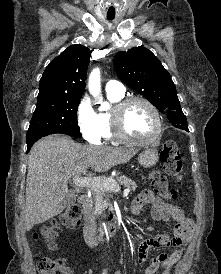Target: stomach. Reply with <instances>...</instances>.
<instances>
[{"label":"stomach","mask_w":221,"mask_h":274,"mask_svg":"<svg viewBox=\"0 0 221 274\" xmlns=\"http://www.w3.org/2000/svg\"><path fill=\"white\" fill-rule=\"evenodd\" d=\"M159 160L158 150L155 148H145L138 156V161L143 167L154 166Z\"/></svg>","instance_id":"1"}]
</instances>
